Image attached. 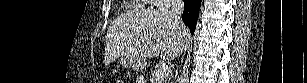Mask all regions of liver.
I'll list each match as a JSON object with an SVG mask.
<instances>
[{
	"instance_id": "6515ba94",
	"label": "liver",
	"mask_w": 307,
	"mask_h": 83,
	"mask_svg": "<svg viewBox=\"0 0 307 83\" xmlns=\"http://www.w3.org/2000/svg\"><path fill=\"white\" fill-rule=\"evenodd\" d=\"M190 44L185 25L168 10H135L118 17L108 29L104 62L109 65L120 56L145 62L160 56L171 60Z\"/></svg>"
}]
</instances>
